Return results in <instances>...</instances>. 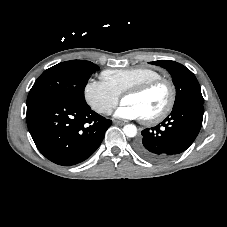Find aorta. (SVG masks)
<instances>
[{
	"label": "aorta",
	"mask_w": 227,
	"mask_h": 227,
	"mask_svg": "<svg viewBox=\"0 0 227 227\" xmlns=\"http://www.w3.org/2000/svg\"><path fill=\"white\" fill-rule=\"evenodd\" d=\"M123 132L127 137H135L137 134V128L133 124H128L123 127Z\"/></svg>",
	"instance_id": "aorta-1"
}]
</instances>
